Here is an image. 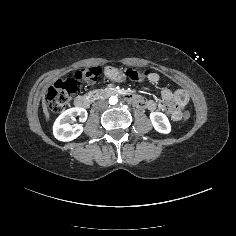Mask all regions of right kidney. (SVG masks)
Listing matches in <instances>:
<instances>
[{"mask_svg":"<svg viewBox=\"0 0 236 236\" xmlns=\"http://www.w3.org/2000/svg\"><path fill=\"white\" fill-rule=\"evenodd\" d=\"M77 116L80 117L81 121H86L88 114L83 108H71L64 111L55 120L53 124V135L57 140L61 142H70L83 133V126L75 124Z\"/></svg>","mask_w":236,"mask_h":236,"instance_id":"obj_1","label":"right kidney"}]
</instances>
